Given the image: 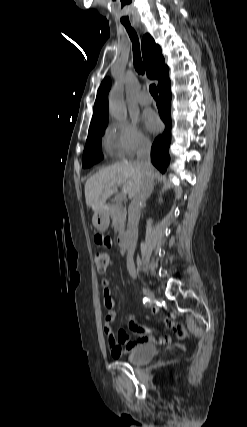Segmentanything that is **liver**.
<instances>
[{
	"label": "liver",
	"instance_id": "1",
	"mask_svg": "<svg viewBox=\"0 0 247 427\" xmlns=\"http://www.w3.org/2000/svg\"><path fill=\"white\" fill-rule=\"evenodd\" d=\"M143 179L141 168L136 161L123 160L103 168L91 176L85 183L86 205L94 214L104 207L105 201L123 185V192L130 198L139 190Z\"/></svg>",
	"mask_w": 247,
	"mask_h": 427
}]
</instances>
